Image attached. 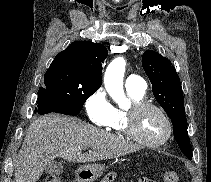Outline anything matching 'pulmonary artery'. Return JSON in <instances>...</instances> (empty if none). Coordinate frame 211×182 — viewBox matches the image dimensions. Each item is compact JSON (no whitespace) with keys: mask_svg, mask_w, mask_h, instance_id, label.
Here are the masks:
<instances>
[{"mask_svg":"<svg viewBox=\"0 0 211 182\" xmlns=\"http://www.w3.org/2000/svg\"><path fill=\"white\" fill-rule=\"evenodd\" d=\"M125 87L127 91H132L137 94H144L147 85L140 75L131 74L125 81Z\"/></svg>","mask_w":211,"mask_h":182,"instance_id":"e3ab8cb5","label":"pulmonary artery"}]
</instances>
